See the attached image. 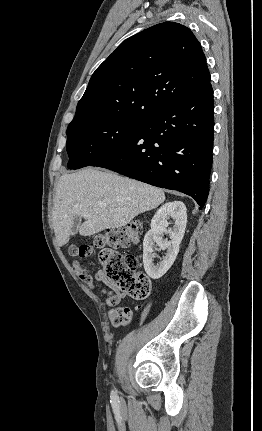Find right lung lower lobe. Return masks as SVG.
Here are the masks:
<instances>
[{"label":"right lung lower lobe","mask_w":262,"mask_h":431,"mask_svg":"<svg viewBox=\"0 0 262 431\" xmlns=\"http://www.w3.org/2000/svg\"><path fill=\"white\" fill-rule=\"evenodd\" d=\"M211 84L198 95L142 119L135 133L90 166L193 197L203 208L212 166Z\"/></svg>","instance_id":"98d812e1"}]
</instances>
